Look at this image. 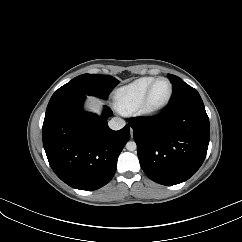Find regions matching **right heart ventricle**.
Wrapping results in <instances>:
<instances>
[{
	"mask_svg": "<svg viewBox=\"0 0 242 242\" xmlns=\"http://www.w3.org/2000/svg\"><path fill=\"white\" fill-rule=\"evenodd\" d=\"M154 79V77H141L119 88L115 93L119 109L122 112L135 110Z\"/></svg>",
	"mask_w": 242,
	"mask_h": 242,
	"instance_id": "1",
	"label": "right heart ventricle"
}]
</instances>
